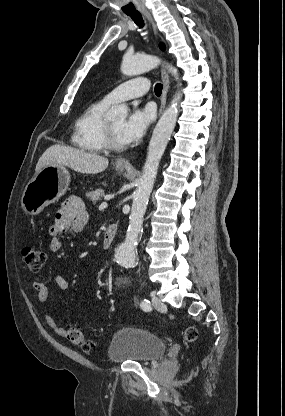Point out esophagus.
<instances>
[{"label": "esophagus", "instance_id": "obj_1", "mask_svg": "<svg viewBox=\"0 0 285 416\" xmlns=\"http://www.w3.org/2000/svg\"><path fill=\"white\" fill-rule=\"evenodd\" d=\"M143 15H145V17L148 18L149 22L152 25L154 34L157 36V27H156V24L154 22V19H153L151 13L150 12H143ZM161 78H162V81H163V91H162V96H161V106H160V109H159V115H161L162 111L165 108L166 101H167V93H168L169 84H170L168 73L166 72V70L163 66L161 67ZM130 159L131 158H121L120 160H118V165L131 166Z\"/></svg>", "mask_w": 285, "mask_h": 416}]
</instances>
